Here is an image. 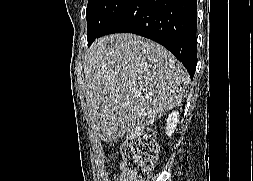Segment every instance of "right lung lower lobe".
<instances>
[{
  "label": "right lung lower lobe",
  "instance_id": "1",
  "mask_svg": "<svg viewBox=\"0 0 253 181\" xmlns=\"http://www.w3.org/2000/svg\"><path fill=\"white\" fill-rule=\"evenodd\" d=\"M197 0H130L98 33L88 34V45L101 36L128 32L166 47L193 79L197 65Z\"/></svg>",
  "mask_w": 253,
  "mask_h": 181
}]
</instances>
